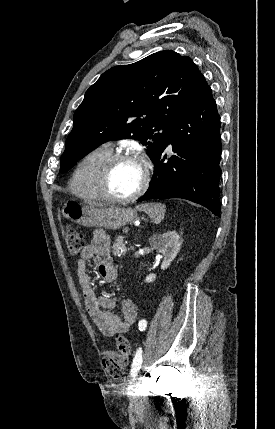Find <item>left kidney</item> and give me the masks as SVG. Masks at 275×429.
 Listing matches in <instances>:
<instances>
[{"mask_svg": "<svg viewBox=\"0 0 275 429\" xmlns=\"http://www.w3.org/2000/svg\"><path fill=\"white\" fill-rule=\"evenodd\" d=\"M149 242L153 248L157 249L164 256L161 269H167L180 250V236L175 231H168L163 234H154L149 238ZM155 279L156 274H149L145 282L152 283Z\"/></svg>", "mask_w": 275, "mask_h": 429, "instance_id": "1", "label": "left kidney"}]
</instances>
